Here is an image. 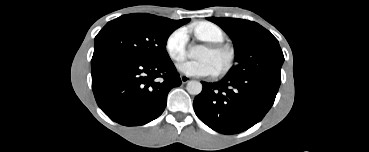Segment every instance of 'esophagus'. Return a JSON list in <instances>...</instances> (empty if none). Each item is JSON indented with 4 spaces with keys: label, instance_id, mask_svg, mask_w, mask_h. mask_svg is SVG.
I'll list each match as a JSON object with an SVG mask.
<instances>
[{
    "label": "esophagus",
    "instance_id": "esophagus-1",
    "mask_svg": "<svg viewBox=\"0 0 369 152\" xmlns=\"http://www.w3.org/2000/svg\"><path fill=\"white\" fill-rule=\"evenodd\" d=\"M180 79L182 81L183 84L187 83L189 81V77L186 75H181Z\"/></svg>",
    "mask_w": 369,
    "mask_h": 152
}]
</instances>
